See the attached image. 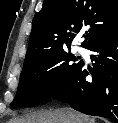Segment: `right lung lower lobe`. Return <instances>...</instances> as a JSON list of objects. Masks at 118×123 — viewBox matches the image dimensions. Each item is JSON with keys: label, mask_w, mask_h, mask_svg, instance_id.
<instances>
[{"label": "right lung lower lobe", "mask_w": 118, "mask_h": 123, "mask_svg": "<svg viewBox=\"0 0 118 123\" xmlns=\"http://www.w3.org/2000/svg\"><path fill=\"white\" fill-rule=\"evenodd\" d=\"M96 63L89 70L92 81H86L89 72L84 63L73 77L51 97L69 103L82 113L108 118L118 123V34L103 39L90 48Z\"/></svg>", "instance_id": "98d812e1"}]
</instances>
